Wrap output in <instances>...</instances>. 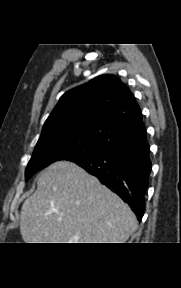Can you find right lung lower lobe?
<instances>
[{
  "label": "right lung lower lobe",
  "instance_id": "obj_1",
  "mask_svg": "<svg viewBox=\"0 0 181 288\" xmlns=\"http://www.w3.org/2000/svg\"><path fill=\"white\" fill-rule=\"evenodd\" d=\"M149 144L121 146L96 155L71 160L96 176L129 204L137 219L145 210L144 197L149 183Z\"/></svg>",
  "mask_w": 181,
  "mask_h": 288
}]
</instances>
